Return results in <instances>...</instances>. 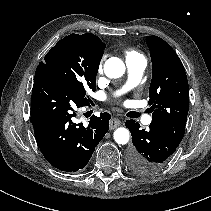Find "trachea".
Instances as JSON below:
<instances>
[{
  "label": "trachea",
  "mask_w": 211,
  "mask_h": 211,
  "mask_svg": "<svg viewBox=\"0 0 211 211\" xmlns=\"http://www.w3.org/2000/svg\"><path fill=\"white\" fill-rule=\"evenodd\" d=\"M140 116V114L138 112H133L131 117L132 118H138Z\"/></svg>",
  "instance_id": "trachea-1"
}]
</instances>
